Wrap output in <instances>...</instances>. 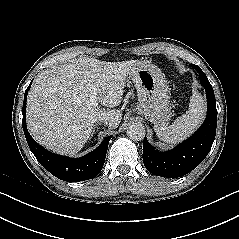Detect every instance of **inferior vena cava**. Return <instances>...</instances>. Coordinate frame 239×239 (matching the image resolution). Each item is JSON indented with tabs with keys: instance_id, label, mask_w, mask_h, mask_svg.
<instances>
[{
	"instance_id": "inferior-vena-cava-1",
	"label": "inferior vena cava",
	"mask_w": 239,
	"mask_h": 239,
	"mask_svg": "<svg viewBox=\"0 0 239 239\" xmlns=\"http://www.w3.org/2000/svg\"><path fill=\"white\" fill-rule=\"evenodd\" d=\"M96 121L104 122L105 124H109L111 121V118L108 116H100V117L96 118Z\"/></svg>"
}]
</instances>
